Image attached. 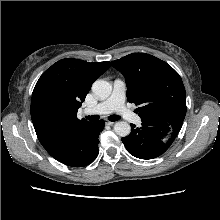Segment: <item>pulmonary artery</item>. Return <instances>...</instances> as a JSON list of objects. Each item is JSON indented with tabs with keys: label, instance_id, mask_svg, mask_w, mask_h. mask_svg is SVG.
<instances>
[{
	"label": "pulmonary artery",
	"instance_id": "e3ab8cb5",
	"mask_svg": "<svg viewBox=\"0 0 220 220\" xmlns=\"http://www.w3.org/2000/svg\"><path fill=\"white\" fill-rule=\"evenodd\" d=\"M126 84L121 79H116L113 83L111 95L104 101L92 108L85 109L86 114L105 115L115 112L127 121L141 124V118L126 108L125 101Z\"/></svg>",
	"mask_w": 220,
	"mask_h": 220
}]
</instances>
